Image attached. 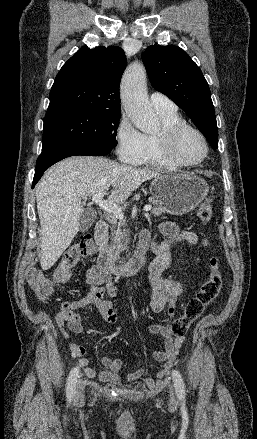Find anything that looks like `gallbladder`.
Returning a JSON list of instances; mask_svg holds the SVG:
<instances>
[{
  "label": "gallbladder",
  "instance_id": "obj_1",
  "mask_svg": "<svg viewBox=\"0 0 257 439\" xmlns=\"http://www.w3.org/2000/svg\"><path fill=\"white\" fill-rule=\"evenodd\" d=\"M94 220H95V215L89 209H85L82 212V215L80 218L81 231L87 230L92 225Z\"/></svg>",
  "mask_w": 257,
  "mask_h": 439
}]
</instances>
